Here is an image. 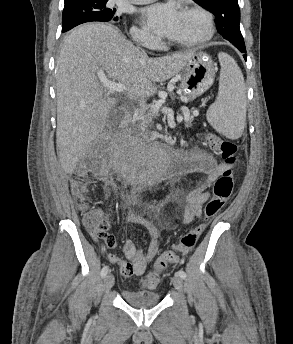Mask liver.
<instances>
[{
	"label": "liver",
	"mask_w": 293,
	"mask_h": 344,
	"mask_svg": "<svg viewBox=\"0 0 293 344\" xmlns=\"http://www.w3.org/2000/svg\"><path fill=\"white\" fill-rule=\"evenodd\" d=\"M193 55L150 58L112 25L92 23L73 30L63 41L56 68V147L63 171L75 170L118 103L105 93L99 73L125 85L129 99L145 98L156 92L155 82L176 75Z\"/></svg>",
	"instance_id": "1"
}]
</instances>
